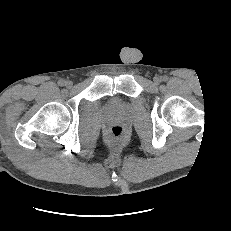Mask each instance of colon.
Here are the masks:
<instances>
[{
    "mask_svg": "<svg viewBox=\"0 0 231 231\" xmlns=\"http://www.w3.org/2000/svg\"><path fill=\"white\" fill-rule=\"evenodd\" d=\"M109 135L113 141H120L125 135V129L119 125L113 126L109 130Z\"/></svg>",
    "mask_w": 231,
    "mask_h": 231,
    "instance_id": "5ec220e1",
    "label": "colon"
}]
</instances>
